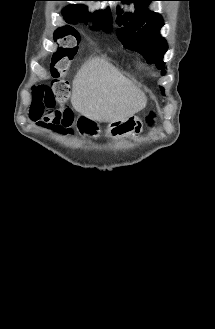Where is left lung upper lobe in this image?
Wrapping results in <instances>:
<instances>
[{
	"mask_svg": "<svg viewBox=\"0 0 215 329\" xmlns=\"http://www.w3.org/2000/svg\"><path fill=\"white\" fill-rule=\"evenodd\" d=\"M124 3L134 2V13L118 11V24L125 25L117 30V35L125 48L137 50L149 63H154L160 70L165 69L162 61L168 49L166 40L159 34L164 25L160 14L147 9L148 4L155 0H119ZM161 90L164 89L161 87Z\"/></svg>",
	"mask_w": 215,
	"mask_h": 329,
	"instance_id": "5c2ea615",
	"label": "left lung upper lobe"
}]
</instances>
